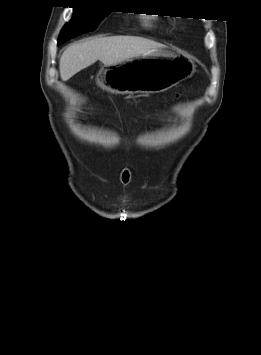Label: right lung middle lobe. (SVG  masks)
Instances as JSON below:
<instances>
[{
	"label": "right lung middle lobe",
	"mask_w": 261,
	"mask_h": 355,
	"mask_svg": "<svg viewBox=\"0 0 261 355\" xmlns=\"http://www.w3.org/2000/svg\"><path fill=\"white\" fill-rule=\"evenodd\" d=\"M110 11L90 9L83 7L74 8L71 20L63 27L58 40H69L86 32L93 31L99 22Z\"/></svg>",
	"instance_id": "obj_1"
}]
</instances>
